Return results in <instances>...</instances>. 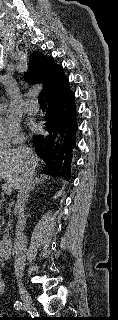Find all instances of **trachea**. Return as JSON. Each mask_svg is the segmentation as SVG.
<instances>
[{
    "label": "trachea",
    "instance_id": "1",
    "mask_svg": "<svg viewBox=\"0 0 118 320\" xmlns=\"http://www.w3.org/2000/svg\"><path fill=\"white\" fill-rule=\"evenodd\" d=\"M38 103H39L40 106H42V107H47V104H46L44 98H40V99L38 100Z\"/></svg>",
    "mask_w": 118,
    "mask_h": 320
}]
</instances>
